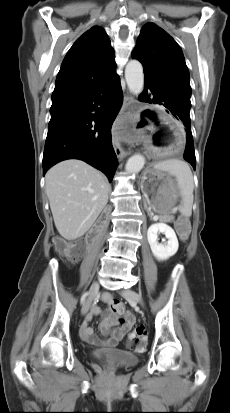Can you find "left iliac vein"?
Masks as SVG:
<instances>
[{
  "label": "left iliac vein",
  "mask_w": 230,
  "mask_h": 413,
  "mask_svg": "<svg viewBox=\"0 0 230 413\" xmlns=\"http://www.w3.org/2000/svg\"><path fill=\"white\" fill-rule=\"evenodd\" d=\"M122 296H123L125 299H127L128 301L136 302V303L140 304L141 306L144 305L142 296H141L139 293H137V292H135V291H133V290H125V291H123V292H122Z\"/></svg>",
  "instance_id": "1"
}]
</instances>
